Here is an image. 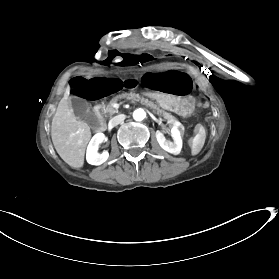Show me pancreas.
<instances>
[{"mask_svg":"<svg viewBox=\"0 0 279 279\" xmlns=\"http://www.w3.org/2000/svg\"><path fill=\"white\" fill-rule=\"evenodd\" d=\"M123 98H126L128 100L133 99L135 102H139L143 107L149 108L156 115H159V117L163 120L169 121L171 118H173V115H169L166 112H162V110L158 108L155 104L145 100L144 98H141L139 95H136L134 93L117 95L116 97L112 98L111 101L105 106L104 111L108 114L117 113L118 111L113 108V104L118 102L119 99Z\"/></svg>","mask_w":279,"mask_h":279,"instance_id":"cf45deb5","label":"pancreas"}]
</instances>
